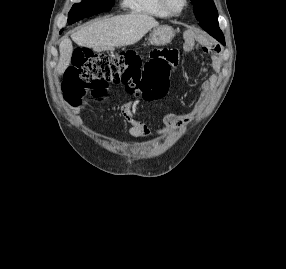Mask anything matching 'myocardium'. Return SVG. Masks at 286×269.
I'll list each match as a JSON object with an SVG mask.
<instances>
[{"instance_id": "obj_1", "label": "myocardium", "mask_w": 286, "mask_h": 269, "mask_svg": "<svg viewBox=\"0 0 286 269\" xmlns=\"http://www.w3.org/2000/svg\"><path fill=\"white\" fill-rule=\"evenodd\" d=\"M162 8L170 15V16H179L181 15L188 5V0H182V6L179 10H175L171 4L170 0H160Z\"/></svg>"}]
</instances>
